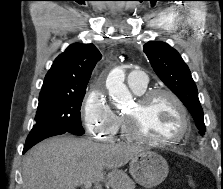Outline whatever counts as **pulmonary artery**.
<instances>
[{
	"label": "pulmonary artery",
	"mask_w": 223,
	"mask_h": 189,
	"mask_svg": "<svg viewBox=\"0 0 223 189\" xmlns=\"http://www.w3.org/2000/svg\"><path fill=\"white\" fill-rule=\"evenodd\" d=\"M148 84V78L146 73L143 70H132L127 79V85L132 89V90H142L146 88Z\"/></svg>",
	"instance_id": "e3ab8cb5"
}]
</instances>
